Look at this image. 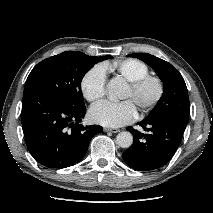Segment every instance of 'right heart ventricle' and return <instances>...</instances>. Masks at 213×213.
Masks as SVG:
<instances>
[{
    "label": "right heart ventricle",
    "mask_w": 213,
    "mask_h": 213,
    "mask_svg": "<svg viewBox=\"0 0 213 213\" xmlns=\"http://www.w3.org/2000/svg\"><path fill=\"white\" fill-rule=\"evenodd\" d=\"M105 70L113 69L119 76L128 82H132L149 74V68L137 59H125L112 65L104 66Z\"/></svg>",
    "instance_id": "e07e8e85"
}]
</instances>
